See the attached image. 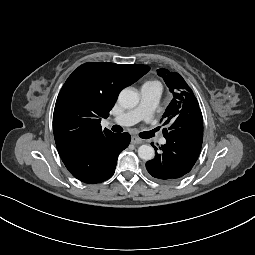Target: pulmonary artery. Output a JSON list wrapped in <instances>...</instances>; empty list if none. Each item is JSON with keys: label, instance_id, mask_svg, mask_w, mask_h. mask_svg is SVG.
I'll return each mask as SVG.
<instances>
[{"label": "pulmonary artery", "instance_id": "obj_1", "mask_svg": "<svg viewBox=\"0 0 255 255\" xmlns=\"http://www.w3.org/2000/svg\"><path fill=\"white\" fill-rule=\"evenodd\" d=\"M161 95V86L156 82L145 83L141 87V99L139 105L129 111L116 116L113 121L121 126H131L141 120L151 119ZM161 144L166 140L161 139Z\"/></svg>", "mask_w": 255, "mask_h": 255}]
</instances>
